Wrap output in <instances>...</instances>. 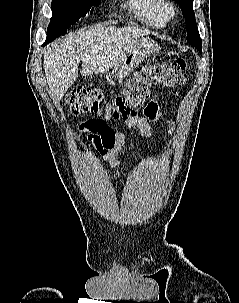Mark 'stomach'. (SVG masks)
<instances>
[{"mask_svg":"<svg viewBox=\"0 0 239 303\" xmlns=\"http://www.w3.org/2000/svg\"><path fill=\"white\" fill-rule=\"evenodd\" d=\"M158 44L148 38L140 40L135 46L131 47L122 59L112 68L113 77L120 79L132 72L145 58L158 53Z\"/></svg>","mask_w":239,"mask_h":303,"instance_id":"obj_1","label":"stomach"}]
</instances>
